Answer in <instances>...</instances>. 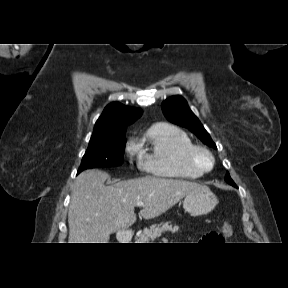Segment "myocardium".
<instances>
[{
  "label": "myocardium",
  "mask_w": 288,
  "mask_h": 288,
  "mask_svg": "<svg viewBox=\"0 0 288 288\" xmlns=\"http://www.w3.org/2000/svg\"><path fill=\"white\" fill-rule=\"evenodd\" d=\"M206 155L209 159V165L205 166L201 163L199 156ZM187 163L194 169L200 171L201 173L211 172L216 164L215 157L213 153L205 146L192 145L185 155Z\"/></svg>",
  "instance_id": "f54148a6"
}]
</instances>
